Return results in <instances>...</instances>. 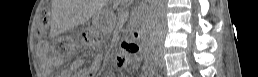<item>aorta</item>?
Segmentation results:
<instances>
[{"label": "aorta", "mask_w": 258, "mask_h": 77, "mask_svg": "<svg viewBox=\"0 0 258 77\" xmlns=\"http://www.w3.org/2000/svg\"><path fill=\"white\" fill-rule=\"evenodd\" d=\"M164 0H153L151 9L149 12V17L154 22L156 21L163 13L164 10Z\"/></svg>", "instance_id": "1"}]
</instances>
